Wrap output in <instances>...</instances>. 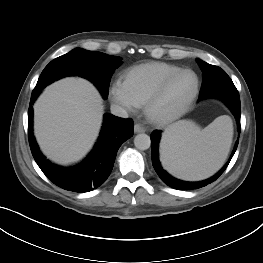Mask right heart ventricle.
Segmentation results:
<instances>
[{"label": "right heart ventricle", "mask_w": 263, "mask_h": 263, "mask_svg": "<svg viewBox=\"0 0 263 263\" xmlns=\"http://www.w3.org/2000/svg\"><path fill=\"white\" fill-rule=\"evenodd\" d=\"M179 69V66L165 62L144 63L127 69L123 74V83L141 106L165 77Z\"/></svg>", "instance_id": "1"}]
</instances>
